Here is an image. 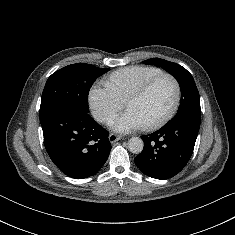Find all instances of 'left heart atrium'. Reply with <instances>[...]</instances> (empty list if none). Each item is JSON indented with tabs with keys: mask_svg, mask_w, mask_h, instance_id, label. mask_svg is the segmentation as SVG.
<instances>
[{
	"mask_svg": "<svg viewBox=\"0 0 235 235\" xmlns=\"http://www.w3.org/2000/svg\"><path fill=\"white\" fill-rule=\"evenodd\" d=\"M109 125L115 131L123 133L139 129L143 126L138 116L130 109H127L124 113L114 117Z\"/></svg>",
	"mask_w": 235,
	"mask_h": 235,
	"instance_id": "obj_1",
	"label": "left heart atrium"
}]
</instances>
